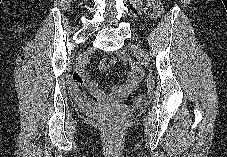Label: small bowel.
Here are the masks:
<instances>
[{"mask_svg": "<svg viewBox=\"0 0 227 157\" xmlns=\"http://www.w3.org/2000/svg\"><path fill=\"white\" fill-rule=\"evenodd\" d=\"M102 68L108 69L109 62H102ZM140 76V71L133 65H130L126 73V82L120 86L115 87L109 94L101 90L97 84L83 71H76L70 82V93L76 103L81 107L88 109H95L100 107L105 101L121 100L127 97L135 88ZM81 85H85L90 92L87 95L81 90Z\"/></svg>", "mask_w": 227, "mask_h": 157, "instance_id": "obj_1", "label": "small bowel"}]
</instances>
